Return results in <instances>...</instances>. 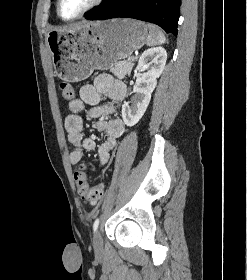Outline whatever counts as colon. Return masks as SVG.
I'll use <instances>...</instances> for the list:
<instances>
[{"instance_id":"obj_1","label":"colon","mask_w":247,"mask_h":280,"mask_svg":"<svg viewBox=\"0 0 247 280\" xmlns=\"http://www.w3.org/2000/svg\"><path fill=\"white\" fill-rule=\"evenodd\" d=\"M61 96L64 101L71 102L74 98V89L68 83L60 84ZM85 167L81 166L79 170L75 172V179L78 186V192L86 201H97L104 193V185L102 183L94 186H89L86 182Z\"/></svg>"}]
</instances>
